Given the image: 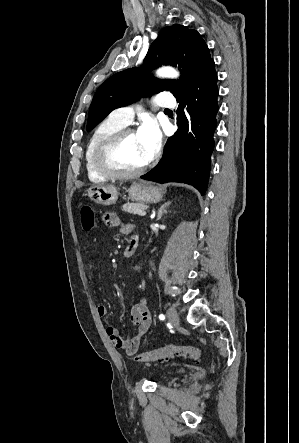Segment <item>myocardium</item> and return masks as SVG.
<instances>
[{
  "mask_svg": "<svg viewBox=\"0 0 299 443\" xmlns=\"http://www.w3.org/2000/svg\"><path fill=\"white\" fill-rule=\"evenodd\" d=\"M134 133V129L123 128L110 135L98 146L95 153V166L101 174L112 179H127L138 176L149 168L150 161L133 170L119 169L113 162L115 150L127 136Z\"/></svg>",
  "mask_w": 299,
  "mask_h": 443,
  "instance_id": "myocardium-1",
  "label": "myocardium"
}]
</instances>
